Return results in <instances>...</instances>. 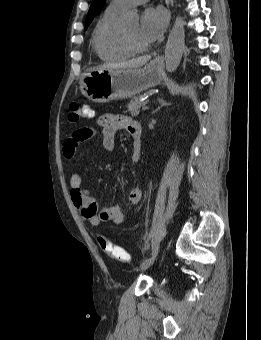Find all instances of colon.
<instances>
[{"mask_svg": "<svg viewBox=\"0 0 261 340\" xmlns=\"http://www.w3.org/2000/svg\"><path fill=\"white\" fill-rule=\"evenodd\" d=\"M92 115L93 111L87 104L71 103L69 106L68 117L72 122L88 119L92 117ZM96 238L99 247L111 258L120 262H128L130 260L128 252L122 247L113 244L104 234L99 233Z\"/></svg>", "mask_w": 261, "mask_h": 340, "instance_id": "colon-1", "label": "colon"}]
</instances>
